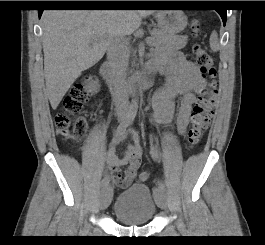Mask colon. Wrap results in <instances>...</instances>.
I'll return each instance as SVG.
<instances>
[{"label": "colon", "mask_w": 265, "mask_h": 245, "mask_svg": "<svg viewBox=\"0 0 265 245\" xmlns=\"http://www.w3.org/2000/svg\"><path fill=\"white\" fill-rule=\"evenodd\" d=\"M199 25L193 24V32L196 33ZM195 63L202 76L206 79L203 94L194 106L191 124L188 128L187 143L192 148L198 145L207 129L214 114L215 97L218 93L216 81L217 70L211 54L202 46L195 45L192 48ZM85 82L75 85L63 103V110L55 117V125L60 133L70 140H80L86 133V120L82 114L84 102L88 93ZM150 177L147 171H142L138 175L139 181H146Z\"/></svg>", "instance_id": "obj_1"}]
</instances>
